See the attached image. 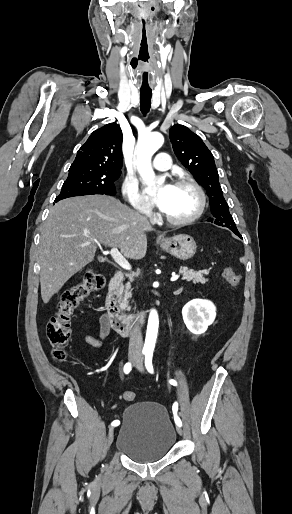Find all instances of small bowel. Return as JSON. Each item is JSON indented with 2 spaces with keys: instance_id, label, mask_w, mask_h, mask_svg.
<instances>
[{
  "instance_id": "obj_1",
  "label": "small bowel",
  "mask_w": 292,
  "mask_h": 514,
  "mask_svg": "<svg viewBox=\"0 0 292 514\" xmlns=\"http://www.w3.org/2000/svg\"><path fill=\"white\" fill-rule=\"evenodd\" d=\"M111 333L110 325L107 321L106 314H102L99 318V338L86 335L83 337V343L92 346L94 348H101L104 345V341L109 337Z\"/></svg>"
}]
</instances>
